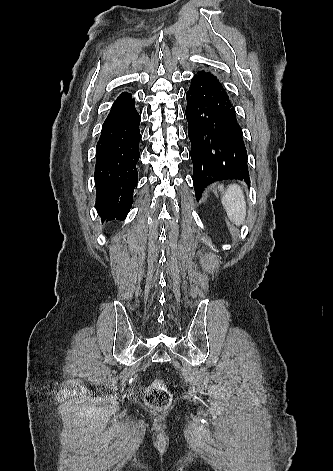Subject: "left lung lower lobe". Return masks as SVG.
<instances>
[{"instance_id":"1","label":"left lung lower lobe","mask_w":333,"mask_h":471,"mask_svg":"<svg viewBox=\"0 0 333 471\" xmlns=\"http://www.w3.org/2000/svg\"><path fill=\"white\" fill-rule=\"evenodd\" d=\"M186 99L196 198L222 179L250 183L242 129L219 80L200 71L191 80Z\"/></svg>"}]
</instances>
